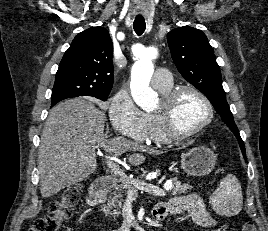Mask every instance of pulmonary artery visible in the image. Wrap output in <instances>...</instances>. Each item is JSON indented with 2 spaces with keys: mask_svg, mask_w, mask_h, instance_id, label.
Segmentation results:
<instances>
[{
  "mask_svg": "<svg viewBox=\"0 0 268 231\" xmlns=\"http://www.w3.org/2000/svg\"><path fill=\"white\" fill-rule=\"evenodd\" d=\"M152 85L155 87L165 86L172 82L170 72L167 68H158L152 76Z\"/></svg>",
  "mask_w": 268,
  "mask_h": 231,
  "instance_id": "obj_1",
  "label": "pulmonary artery"
}]
</instances>
